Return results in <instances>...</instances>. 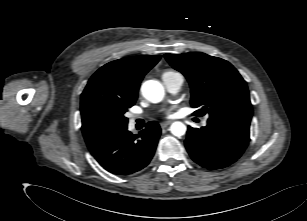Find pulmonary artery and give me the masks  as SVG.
<instances>
[{
    "label": "pulmonary artery",
    "instance_id": "pulmonary-artery-1",
    "mask_svg": "<svg viewBox=\"0 0 307 221\" xmlns=\"http://www.w3.org/2000/svg\"><path fill=\"white\" fill-rule=\"evenodd\" d=\"M162 79L166 89L171 94L179 93L184 83V78L180 73L174 75H164ZM136 118L138 117L134 116L131 121L134 122ZM206 122V120L203 121L204 124H206Z\"/></svg>",
    "mask_w": 307,
    "mask_h": 221
}]
</instances>
